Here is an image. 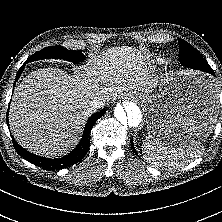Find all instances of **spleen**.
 Here are the masks:
<instances>
[{
  "label": "spleen",
  "instance_id": "obj_1",
  "mask_svg": "<svg viewBox=\"0 0 222 222\" xmlns=\"http://www.w3.org/2000/svg\"><path fill=\"white\" fill-rule=\"evenodd\" d=\"M203 151L204 147L199 145L174 148L150 140L142 144L143 158L154 167H181L198 158Z\"/></svg>",
  "mask_w": 222,
  "mask_h": 222
}]
</instances>
